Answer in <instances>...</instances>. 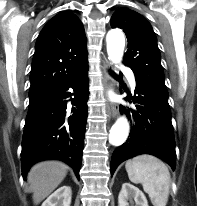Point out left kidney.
Segmentation results:
<instances>
[{
	"mask_svg": "<svg viewBox=\"0 0 197 206\" xmlns=\"http://www.w3.org/2000/svg\"><path fill=\"white\" fill-rule=\"evenodd\" d=\"M149 206L147 199L142 191L130 183H123L122 189L118 196V206Z\"/></svg>",
	"mask_w": 197,
	"mask_h": 206,
	"instance_id": "1",
	"label": "left kidney"
}]
</instances>
